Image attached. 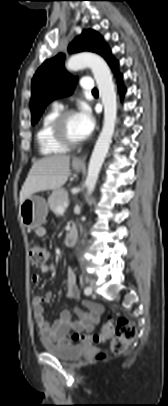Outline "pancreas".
Returning a JSON list of instances; mask_svg holds the SVG:
<instances>
[{
    "label": "pancreas",
    "instance_id": "cf45deb5",
    "mask_svg": "<svg viewBox=\"0 0 168 406\" xmlns=\"http://www.w3.org/2000/svg\"><path fill=\"white\" fill-rule=\"evenodd\" d=\"M69 202L68 193L65 190L59 189L51 194L48 198V205L53 212H57L58 206H63Z\"/></svg>",
    "mask_w": 168,
    "mask_h": 406
}]
</instances>
